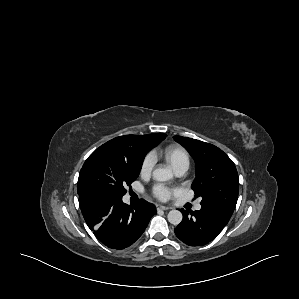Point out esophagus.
Wrapping results in <instances>:
<instances>
[{
    "label": "esophagus",
    "mask_w": 299,
    "mask_h": 299,
    "mask_svg": "<svg viewBox=\"0 0 299 299\" xmlns=\"http://www.w3.org/2000/svg\"><path fill=\"white\" fill-rule=\"evenodd\" d=\"M156 207H157V209H161V210H165V211L171 209L170 207L164 206V205H157Z\"/></svg>",
    "instance_id": "1"
}]
</instances>
